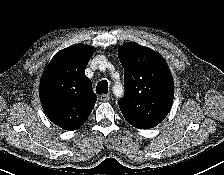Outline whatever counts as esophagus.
Returning a JSON list of instances; mask_svg holds the SVG:
<instances>
[{
    "label": "esophagus",
    "instance_id": "1",
    "mask_svg": "<svg viewBox=\"0 0 224 175\" xmlns=\"http://www.w3.org/2000/svg\"><path fill=\"white\" fill-rule=\"evenodd\" d=\"M99 100L101 102H108L110 100V95L109 94H102L99 96Z\"/></svg>",
    "mask_w": 224,
    "mask_h": 175
}]
</instances>
